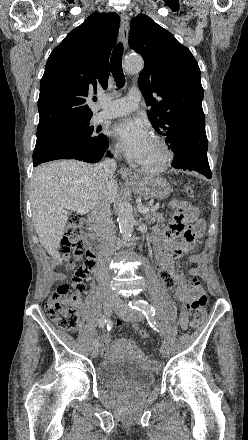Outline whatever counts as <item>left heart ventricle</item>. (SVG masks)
I'll return each mask as SVG.
<instances>
[{"label":"left heart ventricle","mask_w":248,"mask_h":440,"mask_svg":"<svg viewBox=\"0 0 248 440\" xmlns=\"http://www.w3.org/2000/svg\"><path fill=\"white\" fill-rule=\"evenodd\" d=\"M159 156H160L159 150L152 141L148 152L140 162L146 164H152L158 160Z\"/></svg>","instance_id":"left-heart-ventricle-1"}]
</instances>
